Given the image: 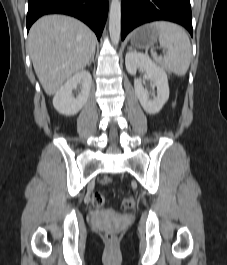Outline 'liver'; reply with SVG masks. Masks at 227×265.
Masks as SVG:
<instances>
[{
	"instance_id": "obj_1",
	"label": "liver",
	"mask_w": 227,
	"mask_h": 265,
	"mask_svg": "<svg viewBox=\"0 0 227 265\" xmlns=\"http://www.w3.org/2000/svg\"><path fill=\"white\" fill-rule=\"evenodd\" d=\"M95 36L83 22L65 15L38 19L28 36L30 57L47 95L55 94L95 53Z\"/></svg>"
}]
</instances>
